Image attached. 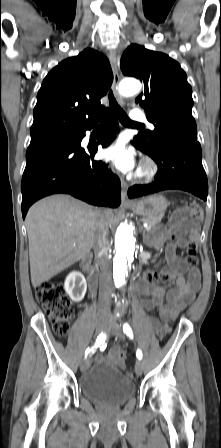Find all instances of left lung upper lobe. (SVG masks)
<instances>
[{"label": "left lung upper lobe", "instance_id": "5c2ea615", "mask_svg": "<svg viewBox=\"0 0 221 448\" xmlns=\"http://www.w3.org/2000/svg\"><path fill=\"white\" fill-rule=\"evenodd\" d=\"M124 75L143 81L144 93L136 98L146 110L153 131L134 137V143L145 151H154L163 143L199 144L192 116V88L179 63L168 55L131 44L121 57Z\"/></svg>", "mask_w": 221, "mask_h": 448}]
</instances>
